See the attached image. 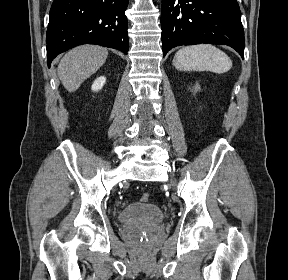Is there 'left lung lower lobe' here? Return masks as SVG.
Here are the masks:
<instances>
[{
  "label": "left lung lower lobe",
  "mask_w": 288,
  "mask_h": 280,
  "mask_svg": "<svg viewBox=\"0 0 288 280\" xmlns=\"http://www.w3.org/2000/svg\"><path fill=\"white\" fill-rule=\"evenodd\" d=\"M163 57L180 45H228L244 58L245 38L236 0H162Z\"/></svg>",
  "instance_id": "1"
}]
</instances>
